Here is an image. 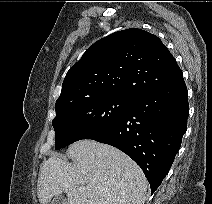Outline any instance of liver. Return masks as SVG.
Masks as SVG:
<instances>
[{"label": "liver", "instance_id": "obj_1", "mask_svg": "<svg viewBox=\"0 0 212 204\" xmlns=\"http://www.w3.org/2000/svg\"><path fill=\"white\" fill-rule=\"evenodd\" d=\"M69 166L53 154L40 168L37 195L41 204L67 194V204H144L148 181L141 168L115 147L80 140L66 152ZM85 187L80 192L79 188Z\"/></svg>", "mask_w": 212, "mask_h": 204}]
</instances>
